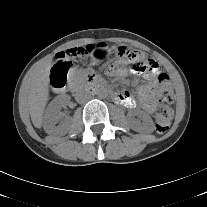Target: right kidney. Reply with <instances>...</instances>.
Listing matches in <instances>:
<instances>
[{
    "label": "right kidney",
    "mask_w": 207,
    "mask_h": 207,
    "mask_svg": "<svg viewBox=\"0 0 207 207\" xmlns=\"http://www.w3.org/2000/svg\"><path fill=\"white\" fill-rule=\"evenodd\" d=\"M68 101L69 97L67 95H60L54 98L48 105L43 121V127L47 133H53L68 126V122L63 123L60 127L56 126L57 119L61 116V109Z\"/></svg>",
    "instance_id": "right-kidney-1"
}]
</instances>
